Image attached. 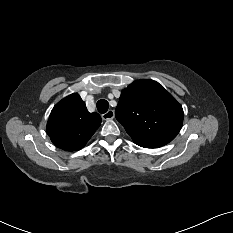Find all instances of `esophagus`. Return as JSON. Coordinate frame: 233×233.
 I'll return each instance as SVG.
<instances>
[{
    "mask_svg": "<svg viewBox=\"0 0 233 233\" xmlns=\"http://www.w3.org/2000/svg\"><path fill=\"white\" fill-rule=\"evenodd\" d=\"M114 111L113 110H108L106 113L102 114V119L103 120H111L114 118Z\"/></svg>",
    "mask_w": 233,
    "mask_h": 233,
    "instance_id": "obj_1",
    "label": "esophagus"
}]
</instances>
